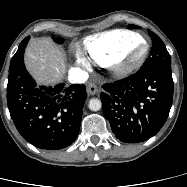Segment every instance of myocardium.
<instances>
[{
    "label": "myocardium",
    "instance_id": "myocardium-1",
    "mask_svg": "<svg viewBox=\"0 0 187 187\" xmlns=\"http://www.w3.org/2000/svg\"><path fill=\"white\" fill-rule=\"evenodd\" d=\"M139 47H142L143 50L135 57L134 53ZM149 51V43L142 38L139 42L127 46L108 66L117 75L131 74L144 64Z\"/></svg>",
    "mask_w": 187,
    "mask_h": 187
}]
</instances>
